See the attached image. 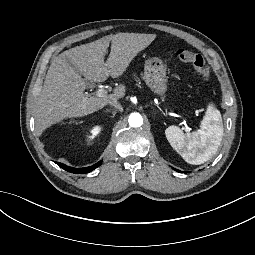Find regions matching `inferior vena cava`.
<instances>
[{"label":"inferior vena cava","mask_w":255,"mask_h":255,"mask_svg":"<svg viewBox=\"0 0 255 255\" xmlns=\"http://www.w3.org/2000/svg\"><path fill=\"white\" fill-rule=\"evenodd\" d=\"M109 104L113 106L117 111H120V112L123 111L122 105L117 100H112L109 102Z\"/></svg>","instance_id":"602c4592"}]
</instances>
